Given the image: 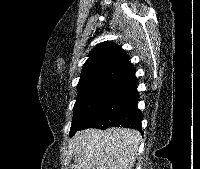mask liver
<instances>
[{"instance_id": "6515ba94", "label": "liver", "mask_w": 200, "mask_h": 169, "mask_svg": "<svg viewBox=\"0 0 200 169\" xmlns=\"http://www.w3.org/2000/svg\"><path fill=\"white\" fill-rule=\"evenodd\" d=\"M140 138L137 130L121 127L78 131L71 140V169H133Z\"/></svg>"}]
</instances>
